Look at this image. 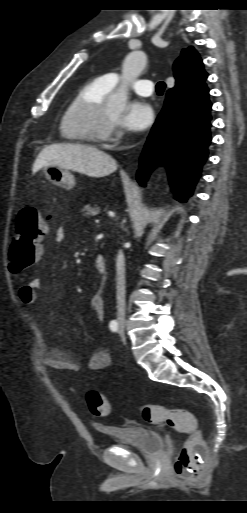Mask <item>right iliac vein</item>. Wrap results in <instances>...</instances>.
<instances>
[{
    "instance_id": "63e3f726",
    "label": "right iliac vein",
    "mask_w": 247,
    "mask_h": 513,
    "mask_svg": "<svg viewBox=\"0 0 247 513\" xmlns=\"http://www.w3.org/2000/svg\"><path fill=\"white\" fill-rule=\"evenodd\" d=\"M121 328L124 330V325L123 324L121 325Z\"/></svg>"
}]
</instances>
